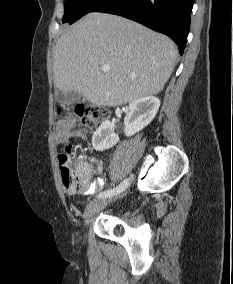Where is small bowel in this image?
I'll use <instances>...</instances> for the list:
<instances>
[{
  "label": "small bowel",
  "instance_id": "obj_1",
  "mask_svg": "<svg viewBox=\"0 0 233 284\" xmlns=\"http://www.w3.org/2000/svg\"><path fill=\"white\" fill-rule=\"evenodd\" d=\"M70 132V127L65 124H60L58 128V137H63L64 135ZM74 135L80 138H84L85 135L82 131L77 130L74 132ZM77 164L81 170L87 174L90 178L96 176V179L90 184L87 190L83 193L92 194L99 191L103 185L104 180L102 178V164L95 158H86L84 156H79L76 159Z\"/></svg>",
  "mask_w": 233,
  "mask_h": 284
}]
</instances>
